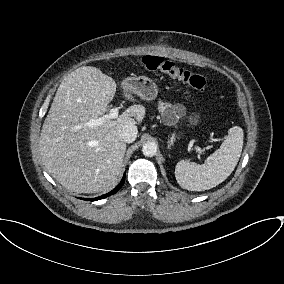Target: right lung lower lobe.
<instances>
[{
  "instance_id": "98d812e1",
  "label": "right lung lower lobe",
  "mask_w": 284,
  "mask_h": 284,
  "mask_svg": "<svg viewBox=\"0 0 284 284\" xmlns=\"http://www.w3.org/2000/svg\"><path fill=\"white\" fill-rule=\"evenodd\" d=\"M124 181H125V175L123 176V179L121 180V182L119 183V185L114 188L111 192L105 194V195H102L100 197H97V198H86L85 200H89V201H95V200H99V199H103V198H106L114 193H116L121 187L122 185L124 184Z\"/></svg>"
}]
</instances>
